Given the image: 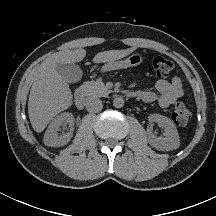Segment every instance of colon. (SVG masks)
<instances>
[{
	"instance_id": "colon-1",
	"label": "colon",
	"mask_w": 216,
	"mask_h": 216,
	"mask_svg": "<svg viewBox=\"0 0 216 216\" xmlns=\"http://www.w3.org/2000/svg\"><path fill=\"white\" fill-rule=\"evenodd\" d=\"M153 68L158 77L165 78L171 73L173 63L165 57L157 56L153 60ZM172 118L176 125L184 127L191 118L190 110L183 102H177L174 107Z\"/></svg>"
}]
</instances>
